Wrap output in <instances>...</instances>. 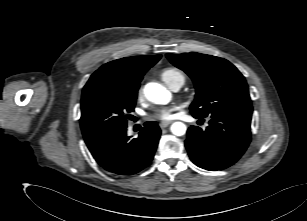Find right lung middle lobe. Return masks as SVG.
I'll use <instances>...</instances> for the list:
<instances>
[{
	"instance_id": "obj_1",
	"label": "right lung middle lobe",
	"mask_w": 307,
	"mask_h": 221,
	"mask_svg": "<svg viewBox=\"0 0 307 221\" xmlns=\"http://www.w3.org/2000/svg\"><path fill=\"white\" fill-rule=\"evenodd\" d=\"M137 90L123 85L97 82L85 85L81 99L80 125L87 146L127 127V113L133 112Z\"/></svg>"
}]
</instances>
